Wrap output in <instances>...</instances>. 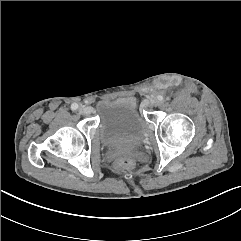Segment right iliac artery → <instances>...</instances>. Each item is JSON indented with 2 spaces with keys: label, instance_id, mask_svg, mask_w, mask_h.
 I'll return each mask as SVG.
<instances>
[{
  "label": "right iliac artery",
  "instance_id": "right-iliac-artery-1",
  "mask_svg": "<svg viewBox=\"0 0 241 241\" xmlns=\"http://www.w3.org/2000/svg\"><path fill=\"white\" fill-rule=\"evenodd\" d=\"M71 109H72L73 111L77 110V109H78V104L73 103V104L71 105Z\"/></svg>",
  "mask_w": 241,
  "mask_h": 241
}]
</instances>
